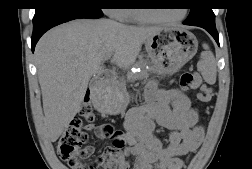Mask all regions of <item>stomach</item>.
<instances>
[{
  "instance_id": "1",
  "label": "stomach",
  "mask_w": 252,
  "mask_h": 169,
  "mask_svg": "<svg viewBox=\"0 0 252 169\" xmlns=\"http://www.w3.org/2000/svg\"><path fill=\"white\" fill-rule=\"evenodd\" d=\"M145 49L159 75H171L183 67L197 52L196 37L180 27H164L145 41ZM100 109L117 115L127 106L128 95L124 87L113 85L98 95Z\"/></svg>"
}]
</instances>
